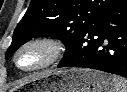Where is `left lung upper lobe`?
<instances>
[{
    "instance_id": "1",
    "label": "left lung upper lobe",
    "mask_w": 127,
    "mask_h": 92,
    "mask_svg": "<svg viewBox=\"0 0 127 92\" xmlns=\"http://www.w3.org/2000/svg\"><path fill=\"white\" fill-rule=\"evenodd\" d=\"M123 0H32L17 25L6 56L39 36L63 41L66 52L81 34Z\"/></svg>"
}]
</instances>
